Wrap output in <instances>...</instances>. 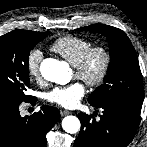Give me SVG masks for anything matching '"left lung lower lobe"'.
<instances>
[{
  "label": "left lung lower lobe",
  "mask_w": 147,
  "mask_h": 147,
  "mask_svg": "<svg viewBox=\"0 0 147 147\" xmlns=\"http://www.w3.org/2000/svg\"><path fill=\"white\" fill-rule=\"evenodd\" d=\"M100 120L83 113L79 136L74 147H127L140 124V110L125 104H104Z\"/></svg>",
  "instance_id": "0a47b994"
}]
</instances>
